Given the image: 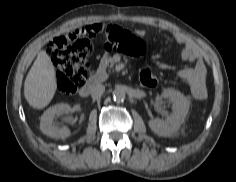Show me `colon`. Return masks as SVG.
<instances>
[{"label": "colon", "mask_w": 236, "mask_h": 182, "mask_svg": "<svg viewBox=\"0 0 236 182\" xmlns=\"http://www.w3.org/2000/svg\"><path fill=\"white\" fill-rule=\"evenodd\" d=\"M103 34L111 48L134 58L146 53V44L138 36L114 24H94L67 35L51 39L46 50L57 68L58 90L64 95L74 94L81 86L91 69V44L89 38ZM140 84L147 88L157 85V76L149 67L139 72Z\"/></svg>", "instance_id": "1"}]
</instances>
